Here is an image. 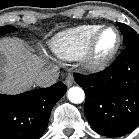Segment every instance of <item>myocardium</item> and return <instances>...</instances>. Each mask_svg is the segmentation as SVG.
Returning a JSON list of instances; mask_svg holds the SVG:
<instances>
[{
    "label": "myocardium",
    "mask_w": 139,
    "mask_h": 139,
    "mask_svg": "<svg viewBox=\"0 0 139 139\" xmlns=\"http://www.w3.org/2000/svg\"><path fill=\"white\" fill-rule=\"evenodd\" d=\"M107 30L115 31L117 35V42L115 47L112 49L110 53H108L105 56L99 57L96 54L97 43L101 35ZM121 45H122V35L119 29L116 28L115 26H103L94 34L83 56L81 57L83 68L91 73H96L105 70L116 58L121 48Z\"/></svg>",
    "instance_id": "f54148a6"
}]
</instances>
